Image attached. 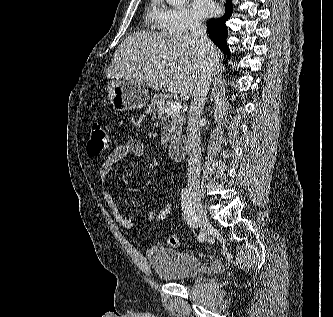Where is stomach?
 Returning a JSON list of instances; mask_svg holds the SVG:
<instances>
[{
    "label": "stomach",
    "mask_w": 333,
    "mask_h": 317,
    "mask_svg": "<svg viewBox=\"0 0 333 317\" xmlns=\"http://www.w3.org/2000/svg\"><path fill=\"white\" fill-rule=\"evenodd\" d=\"M110 103L116 111L135 110L149 101V93L141 82L124 77L111 81L107 87Z\"/></svg>",
    "instance_id": "obj_1"
}]
</instances>
